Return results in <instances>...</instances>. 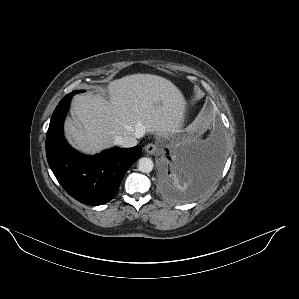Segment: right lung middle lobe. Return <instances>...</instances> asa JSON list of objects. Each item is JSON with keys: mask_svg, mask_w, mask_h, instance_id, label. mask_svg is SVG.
<instances>
[{"mask_svg": "<svg viewBox=\"0 0 299 299\" xmlns=\"http://www.w3.org/2000/svg\"><path fill=\"white\" fill-rule=\"evenodd\" d=\"M79 92H83V91H74V92H72L71 94H72V95H75L76 93H79Z\"/></svg>", "mask_w": 299, "mask_h": 299, "instance_id": "obj_1", "label": "right lung middle lobe"}]
</instances>
